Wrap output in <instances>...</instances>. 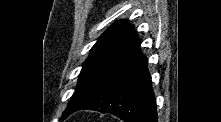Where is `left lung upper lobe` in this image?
I'll return each instance as SVG.
<instances>
[{"instance_id": "left-lung-upper-lobe-1", "label": "left lung upper lobe", "mask_w": 221, "mask_h": 122, "mask_svg": "<svg viewBox=\"0 0 221 122\" xmlns=\"http://www.w3.org/2000/svg\"><path fill=\"white\" fill-rule=\"evenodd\" d=\"M132 35L133 26L120 20L100 36L83 63L77 88L67 109L77 111L95 94L122 57Z\"/></svg>"}]
</instances>
